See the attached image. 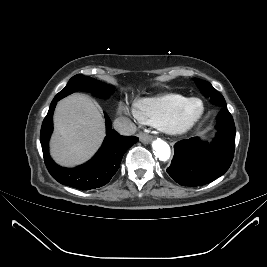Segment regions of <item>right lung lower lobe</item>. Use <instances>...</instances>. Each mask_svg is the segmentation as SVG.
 Wrapping results in <instances>:
<instances>
[{
  "instance_id": "98d812e1",
  "label": "right lung lower lobe",
  "mask_w": 267,
  "mask_h": 267,
  "mask_svg": "<svg viewBox=\"0 0 267 267\" xmlns=\"http://www.w3.org/2000/svg\"><path fill=\"white\" fill-rule=\"evenodd\" d=\"M54 98L40 133L43 156L49 173L61 184L81 190H89L104 186L116 173L124 153L138 141L134 136H121L111 129V121L105 114L106 137L96 153L87 163L76 168H63L57 165L49 155V138L53 130V112L57 101Z\"/></svg>"
}]
</instances>
